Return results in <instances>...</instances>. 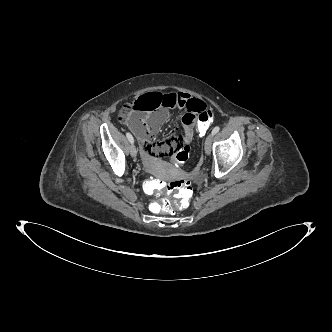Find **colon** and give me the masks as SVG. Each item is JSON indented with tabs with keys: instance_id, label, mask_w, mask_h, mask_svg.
Listing matches in <instances>:
<instances>
[{
	"instance_id": "1",
	"label": "colon",
	"mask_w": 332,
	"mask_h": 332,
	"mask_svg": "<svg viewBox=\"0 0 332 332\" xmlns=\"http://www.w3.org/2000/svg\"><path fill=\"white\" fill-rule=\"evenodd\" d=\"M143 93V92H142ZM141 94V93H140ZM214 118L211 109H206L198 115L195 136L198 139H205L208 136L209 125ZM194 155V148L191 145H183L180 150L166 157V164L169 167H177L191 161ZM145 190L149 194L160 193L162 196L172 194L173 199L155 198L151 202V209L155 213L171 212L173 209L189 210L193 206V186L188 179H175L172 181H162L149 179L145 183Z\"/></svg>"
}]
</instances>
